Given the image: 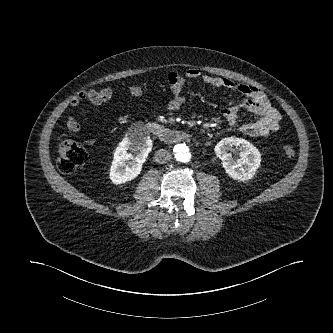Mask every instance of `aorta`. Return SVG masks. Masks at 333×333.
Instances as JSON below:
<instances>
[{
	"label": "aorta",
	"instance_id": "obj_1",
	"mask_svg": "<svg viewBox=\"0 0 333 333\" xmlns=\"http://www.w3.org/2000/svg\"><path fill=\"white\" fill-rule=\"evenodd\" d=\"M174 156L176 160L187 163L190 161L191 154L186 144H178L174 147Z\"/></svg>",
	"mask_w": 333,
	"mask_h": 333
}]
</instances>
